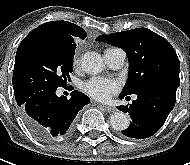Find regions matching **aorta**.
Wrapping results in <instances>:
<instances>
[{"label":"aorta","mask_w":190,"mask_h":165,"mask_svg":"<svg viewBox=\"0 0 190 165\" xmlns=\"http://www.w3.org/2000/svg\"><path fill=\"white\" fill-rule=\"evenodd\" d=\"M82 69L91 75L99 74L104 69V62L100 54L96 52H86L81 58ZM129 117L121 112H115L110 116V124L113 129L122 131L129 126Z\"/></svg>","instance_id":"762f6f07"}]
</instances>
